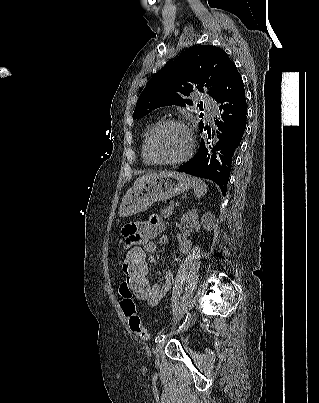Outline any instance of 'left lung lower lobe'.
Segmentation results:
<instances>
[{
	"mask_svg": "<svg viewBox=\"0 0 319 403\" xmlns=\"http://www.w3.org/2000/svg\"><path fill=\"white\" fill-rule=\"evenodd\" d=\"M214 100L220 104L221 116L215 120L216 126L222 132L218 136L219 142L209 153L202 139L197 154L190 161L183 163L178 171L214 181L225 195L232 157L243 137L247 114L243 81L234 64L229 68ZM206 130L210 137L208 126L203 125L200 128L201 132Z\"/></svg>",
	"mask_w": 319,
	"mask_h": 403,
	"instance_id": "1",
	"label": "left lung lower lobe"
}]
</instances>
